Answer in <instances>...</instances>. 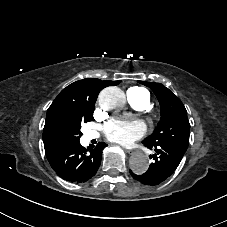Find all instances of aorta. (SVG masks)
<instances>
[{
  "label": "aorta",
  "instance_id": "1",
  "mask_svg": "<svg viewBox=\"0 0 227 227\" xmlns=\"http://www.w3.org/2000/svg\"><path fill=\"white\" fill-rule=\"evenodd\" d=\"M125 100L124 92L118 87H107L98 97V102L104 110L121 108ZM129 165L134 173L143 174L148 170L149 159L143 153H136L131 157Z\"/></svg>",
  "mask_w": 227,
  "mask_h": 227
}]
</instances>
